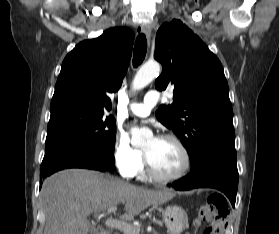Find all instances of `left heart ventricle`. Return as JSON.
I'll return each mask as SVG.
<instances>
[{
	"instance_id": "1",
	"label": "left heart ventricle",
	"mask_w": 279,
	"mask_h": 234,
	"mask_svg": "<svg viewBox=\"0 0 279 234\" xmlns=\"http://www.w3.org/2000/svg\"><path fill=\"white\" fill-rule=\"evenodd\" d=\"M143 150L147 152L153 168L160 175L173 176L183 166L182 152L171 141L151 138L147 141Z\"/></svg>"
}]
</instances>
